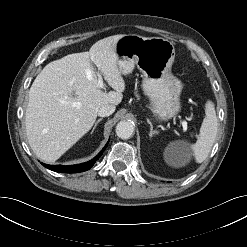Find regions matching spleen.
I'll list each match as a JSON object with an SVG mask.
<instances>
[{
  "instance_id": "obj_1",
  "label": "spleen",
  "mask_w": 247,
  "mask_h": 247,
  "mask_svg": "<svg viewBox=\"0 0 247 247\" xmlns=\"http://www.w3.org/2000/svg\"><path fill=\"white\" fill-rule=\"evenodd\" d=\"M218 129V120L215 105L207 101L205 105V118L200 128L197 142L191 145L193 156L197 163H202L209 155L215 142Z\"/></svg>"
}]
</instances>
